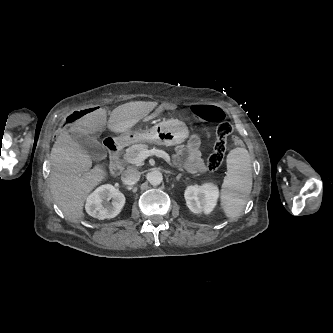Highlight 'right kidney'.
<instances>
[{"label": "right kidney", "mask_w": 333, "mask_h": 333, "mask_svg": "<svg viewBox=\"0 0 333 333\" xmlns=\"http://www.w3.org/2000/svg\"><path fill=\"white\" fill-rule=\"evenodd\" d=\"M111 200V203L109 202ZM125 204V196L110 184L99 186L86 199L87 213L98 219L116 217Z\"/></svg>", "instance_id": "1"}]
</instances>
